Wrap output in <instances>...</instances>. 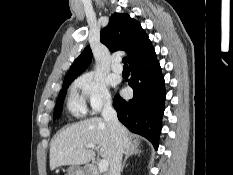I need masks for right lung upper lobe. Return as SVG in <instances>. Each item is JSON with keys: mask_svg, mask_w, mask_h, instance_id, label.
<instances>
[{"mask_svg": "<svg viewBox=\"0 0 233 175\" xmlns=\"http://www.w3.org/2000/svg\"><path fill=\"white\" fill-rule=\"evenodd\" d=\"M100 41L112 52L123 50L128 53L129 64L154 50L140 23L123 13L110 17L108 25L100 32ZM91 59L92 51L86 47L72 64L64 81L74 80L87 68Z\"/></svg>", "mask_w": 233, "mask_h": 175, "instance_id": "obj_1", "label": "right lung upper lobe"}]
</instances>
